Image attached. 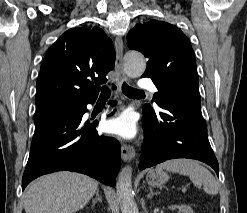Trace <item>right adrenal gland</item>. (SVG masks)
Segmentation results:
<instances>
[{
  "label": "right adrenal gland",
  "instance_id": "right-adrenal-gland-1",
  "mask_svg": "<svg viewBox=\"0 0 247 213\" xmlns=\"http://www.w3.org/2000/svg\"><path fill=\"white\" fill-rule=\"evenodd\" d=\"M97 202L102 203V198L99 193V189L96 190V197L92 200V206H94Z\"/></svg>",
  "mask_w": 247,
  "mask_h": 213
}]
</instances>
